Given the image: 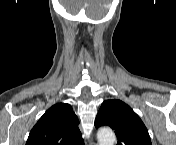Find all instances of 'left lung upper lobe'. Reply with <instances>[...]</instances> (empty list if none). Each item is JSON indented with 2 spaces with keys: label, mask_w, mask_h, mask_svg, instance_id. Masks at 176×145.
Listing matches in <instances>:
<instances>
[{
  "label": "left lung upper lobe",
  "mask_w": 176,
  "mask_h": 145,
  "mask_svg": "<svg viewBox=\"0 0 176 145\" xmlns=\"http://www.w3.org/2000/svg\"><path fill=\"white\" fill-rule=\"evenodd\" d=\"M110 126L117 145H152L147 128L130 106L120 100H106L96 116L95 127Z\"/></svg>",
  "instance_id": "5c2ea615"
}]
</instances>
